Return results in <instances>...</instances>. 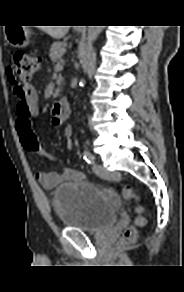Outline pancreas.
Wrapping results in <instances>:
<instances>
[{
  "mask_svg": "<svg viewBox=\"0 0 184 292\" xmlns=\"http://www.w3.org/2000/svg\"><path fill=\"white\" fill-rule=\"evenodd\" d=\"M66 46L67 43L65 42H57L53 44L50 48V59L53 62L59 61L66 51Z\"/></svg>",
  "mask_w": 184,
  "mask_h": 292,
  "instance_id": "obj_1",
  "label": "pancreas"
}]
</instances>
